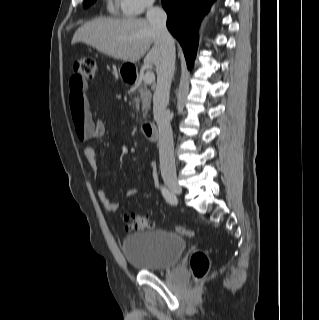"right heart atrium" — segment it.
<instances>
[{
    "mask_svg": "<svg viewBox=\"0 0 319 320\" xmlns=\"http://www.w3.org/2000/svg\"><path fill=\"white\" fill-rule=\"evenodd\" d=\"M114 5L126 16H138L149 9L154 0H112Z\"/></svg>",
    "mask_w": 319,
    "mask_h": 320,
    "instance_id": "1",
    "label": "right heart atrium"
}]
</instances>
